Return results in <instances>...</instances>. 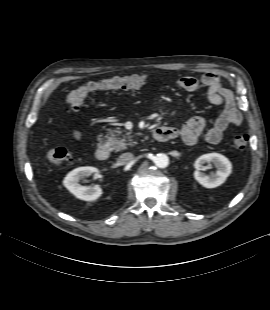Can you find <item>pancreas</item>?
<instances>
[{
	"label": "pancreas",
	"mask_w": 270,
	"mask_h": 310,
	"mask_svg": "<svg viewBox=\"0 0 270 310\" xmlns=\"http://www.w3.org/2000/svg\"><path fill=\"white\" fill-rule=\"evenodd\" d=\"M105 144L111 151H121L127 149V146H132L135 142H133V136H131V132H127L121 130L120 128H116L110 131V135L106 136Z\"/></svg>",
	"instance_id": "pancreas-1"
}]
</instances>
